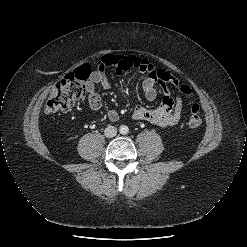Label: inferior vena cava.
Returning a JSON list of instances; mask_svg holds the SVG:
<instances>
[{"instance_id":"602c4592","label":"inferior vena cava","mask_w":247,"mask_h":247,"mask_svg":"<svg viewBox=\"0 0 247 247\" xmlns=\"http://www.w3.org/2000/svg\"><path fill=\"white\" fill-rule=\"evenodd\" d=\"M104 134H105L106 137L112 138V137H114V136L117 134V129H116V127H114V126H110V125H109V126L105 129Z\"/></svg>"}]
</instances>
